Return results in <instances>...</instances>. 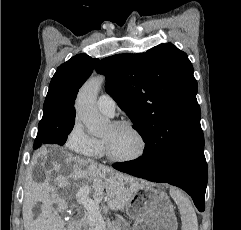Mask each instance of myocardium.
<instances>
[{
  "instance_id": "obj_1",
  "label": "myocardium",
  "mask_w": 241,
  "mask_h": 230,
  "mask_svg": "<svg viewBox=\"0 0 241 230\" xmlns=\"http://www.w3.org/2000/svg\"><path fill=\"white\" fill-rule=\"evenodd\" d=\"M112 125L115 127H127L130 130H132L135 133V135L137 136V138L139 139L140 149L137 152V154H135L134 156H131L128 158H120V157L115 156L112 153L108 142L103 140L104 152H105L107 158L112 162L121 163V164L132 163V162L140 160L146 154V151H147V141H146L145 136L141 132V130L134 123H132L131 121H128V120L116 121Z\"/></svg>"
}]
</instances>
